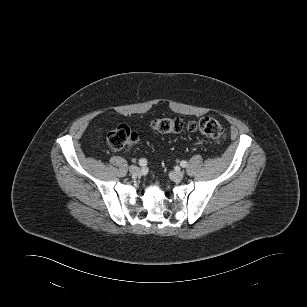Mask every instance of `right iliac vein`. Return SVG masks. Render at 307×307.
<instances>
[{"mask_svg": "<svg viewBox=\"0 0 307 307\" xmlns=\"http://www.w3.org/2000/svg\"><path fill=\"white\" fill-rule=\"evenodd\" d=\"M129 172L133 176H137L140 173V168L136 165H132L129 167Z\"/></svg>", "mask_w": 307, "mask_h": 307, "instance_id": "1", "label": "right iliac vein"}]
</instances>
